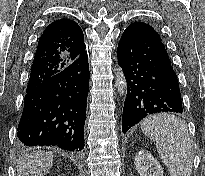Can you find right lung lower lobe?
Masks as SVG:
<instances>
[{"mask_svg": "<svg viewBox=\"0 0 205 176\" xmlns=\"http://www.w3.org/2000/svg\"><path fill=\"white\" fill-rule=\"evenodd\" d=\"M89 90L85 52L61 72L26 91L17 137L25 146L84 148V124Z\"/></svg>", "mask_w": 205, "mask_h": 176, "instance_id": "98d812e1", "label": "right lung lower lobe"}]
</instances>
